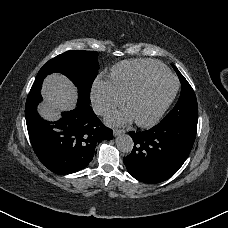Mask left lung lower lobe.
I'll return each instance as SVG.
<instances>
[{"label": "left lung lower lobe", "mask_w": 228, "mask_h": 228, "mask_svg": "<svg viewBox=\"0 0 228 228\" xmlns=\"http://www.w3.org/2000/svg\"><path fill=\"white\" fill-rule=\"evenodd\" d=\"M193 126H161L129 132L132 152L123 158L128 172L144 183H160L173 176L187 159L196 138Z\"/></svg>", "instance_id": "left-lung-lower-lobe-1"}]
</instances>
